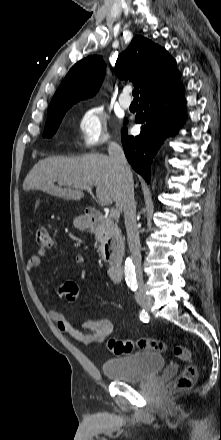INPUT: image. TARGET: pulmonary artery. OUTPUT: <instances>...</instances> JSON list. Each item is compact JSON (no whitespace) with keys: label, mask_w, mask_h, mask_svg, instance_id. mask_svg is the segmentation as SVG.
I'll use <instances>...</instances> for the list:
<instances>
[{"label":"pulmonary artery","mask_w":221,"mask_h":440,"mask_svg":"<svg viewBox=\"0 0 221 440\" xmlns=\"http://www.w3.org/2000/svg\"><path fill=\"white\" fill-rule=\"evenodd\" d=\"M130 89L125 88L119 98V103L124 109H128L131 106L132 100L129 96Z\"/></svg>","instance_id":"e3ab8cb5"}]
</instances>
